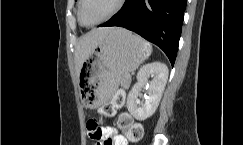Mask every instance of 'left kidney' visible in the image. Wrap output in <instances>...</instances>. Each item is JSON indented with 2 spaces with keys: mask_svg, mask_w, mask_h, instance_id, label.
I'll list each match as a JSON object with an SVG mask.
<instances>
[{
  "mask_svg": "<svg viewBox=\"0 0 243 145\" xmlns=\"http://www.w3.org/2000/svg\"><path fill=\"white\" fill-rule=\"evenodd\" d=\"M153 77L147 88L148 98L145 102L138 99L141 89L146 85L148 78ZM168 79V67L161 62L144 65L137 73V83L132 87L127 97V109L138 121L151 117L162 98Z\"/></svg>",
  "mask_w": 243,
  "mask_h": 145,
  "instance_id": "left-kidney-1",
  "label": "left kidney"
}]
</instances>
